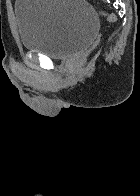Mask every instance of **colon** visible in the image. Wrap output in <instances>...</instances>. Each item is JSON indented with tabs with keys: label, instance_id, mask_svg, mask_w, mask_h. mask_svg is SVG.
Listing matches in <instances>:
<instances>
[{
	"label": "colon",
	"instance_id": "colon-1",
	"mask_svg": "<svg viewBox=\"0 0 140 196\" xmlns=\"http://www.w3.org/2000/svg\"><path fill=\"white\" fill-rule=\"evenodd\" d=\"M103 15L110 22H113L115 20V16L111 13L104 12Z\"/></svg>",
	"mask_w": 140,
	"mask_h": 196
}]
</instances>
